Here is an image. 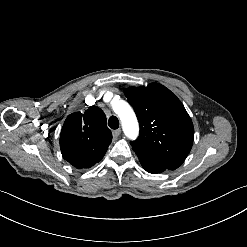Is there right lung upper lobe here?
I'll use <instances>...</instances> for the list:
<instances>
[{"mask_svg":"<svg viewBox=\"0 0 247 247\" xmlns=\"http://www.w3.org/2000/svg\"><path fill=\"white\" fill-rule=\"evenodd\" d=\"M106 122L104 112L97 106L89 107L83 114H70L60 134L63 158L78 169L98 163L112 141Z\"/></svg>","mask_w":247,"mask_h":247,"instance_id":"cb5924a9","label":"right lung upper lobe"}]
</instances>
